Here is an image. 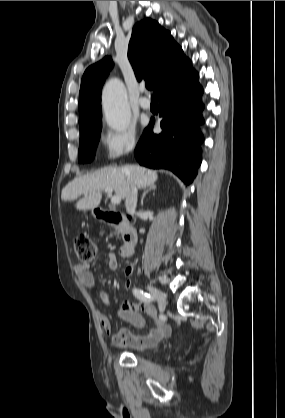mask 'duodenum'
<instances>
[{"label":"duodenum","mask_w":285,"mask_h":418,"mask_svg":"<svg viewBox=\"0 0 285 418\" xmlns=\"http://www.w3.org/2000/svg\"><path fill=\"white\" fill-rule=\"evenodd\" d=\"M94 214L97 219L113 225L120 231L124 242L120 249L121 256L123 258L132 256L137 242V233L132 226L124 223V215L118 211L101 208H95Z\"/></svg>","instance_id":"1"}]
</instances>
